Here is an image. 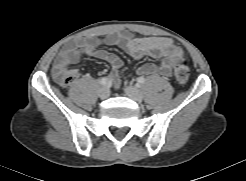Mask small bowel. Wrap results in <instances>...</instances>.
<instances>
[{"label":"small bowel","instance_id":"c3829d8e","mask_svg":"<svg viewBox=\"0 0 246 181\" xmlns=\"http://www.w3.org/2000/svg\"><path fill=\"white\" fill-rule=\"evenodd\" d=\"M118 46L135 59L149 56L157 63L142 64L137 72L140 75L159 74L168 78L172 74L174 63L183 56V51L174 41L165 37H132L127 33L110 34L103 39L95 36L75 38L58 54L53 64V72L68 69V66L88 56L108 62L112 67V77L117 82L118 74L123 66L122 59L103 46ZM75 71V70H73ZM76 72V71H75Z\"/></svg>","mask_w":246,"mask_h":181}]
</instances>
